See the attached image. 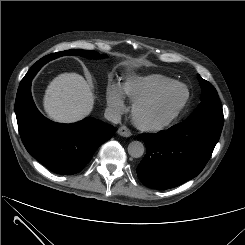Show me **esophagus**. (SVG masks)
Wrapping results in <instances>:
<instances>
[{
  "label": "esophagus",
  "mask_w": 245,
  "mask_h": 245,
  "mask_svg": "<svg viewBox=\"0 0 245 245\" xmlns=\"http://www.w3.org/2000/svg\"><path fill=\"white\" fill-rule=\"evenodd\" d=\"M117 133L123 137H130L132 135L131 131L126 126L119 127Z\"/></svg>",
  "instance_id": "34e87169"
}]
</instances>
